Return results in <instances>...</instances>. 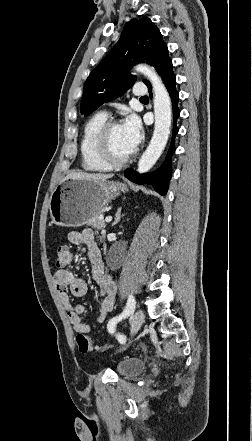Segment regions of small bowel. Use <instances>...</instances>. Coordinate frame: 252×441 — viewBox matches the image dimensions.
Returning a JSON list of instances; mask_svg holds the SVG:
<instances>
[{
	"label": "small bowel",
	"mask_w": 252,
	"mask_h": 441,
	"mask_svg": "<svg viewBox=\"0 0 252 441\" xmlns=\"http://www.w3.org/2000/svg\"><path fill=\"white\" fill-rule=\"evenodd\" d=\"M68 240L73 245L85 244L88 248L92 278L100 289L98 322H103L106 315L114 307L117 286L112 277L105 271L96 233L89 228L82 231H71L68 234ZM54 280L57 292L73 328L77 332L88 333L90 327L84 322V316L87 313L86 308L82 305H73L71 300V296L81 297L86 294L87 284L85 280L69 269L57 270Z\"/></svg>",
	"instance_id": "c3829d8e"
}]
</instances>
